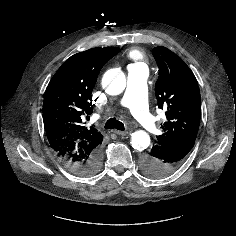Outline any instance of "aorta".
I'll return each mask as SVG.
<instances>
[{
  "label": "aorta",
  "mask_w": 236,
  "mask_h": 236,
  "mask_svg": "<svg viewBox=\"0 0 236 236\" xmlns=\"http://www.w3.org/2000/svg\"><path fill=\"white\" fill-rule=\"evenodd\" d=\"M102 83L106 93L119 95L126 87V77L122 70L113 68L104 73ZM130 143L135 150H145L150 145V136L146 131L138 130L132 134Z\"/></svg>",
  "instance_id": "1"
}]
</instances>
